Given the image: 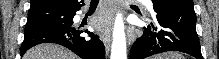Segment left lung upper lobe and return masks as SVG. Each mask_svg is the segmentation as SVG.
<instances>
[{
	"label": "left lung upper lobe",
	"instance_id": "left-lung-upper-lobe-1",
	"mask_svg": "<svg viewBox=\"0 0 219 59\" xmlns=\"http://www.w3.org/2000/svg\"><path fill=\"white\" fill-rule=\"evenodd\" d=\"M185 1L186 0H152L153 4L157 6H174Z\"/></svg>",
	"mask_w": 219,
	"mask_h": 59
}]
</instances>
